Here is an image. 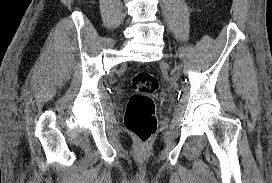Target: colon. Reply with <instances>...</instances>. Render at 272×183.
<instances>
[{"label":"colon","instance_id":"5ec220e1","mask_svg":"<svg viewBox=\"0 0 272 183\" xmlns=\"http://www.w3.org/2000/svg\"><path fill=\"white\" fill-rule=\"evenodd\" d=\"M132 87L135 93L127 103L124 125L140 144H146L157 129L156 108L152 94L158 90L159 81L151 72L140 71L134 75Z\"/></svg>","mask_w":272,"mask_h":183}]
</instances>
